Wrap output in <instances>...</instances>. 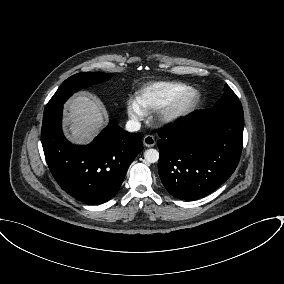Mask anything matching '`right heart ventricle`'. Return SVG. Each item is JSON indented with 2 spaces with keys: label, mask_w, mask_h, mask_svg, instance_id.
Listing matches in <instances>:
<instances>
[{
  "label": "right heart ventricle",
  "mask_w": 284,
  "mask_h": 284,
  "mask_svg": "<svg viewBox=\"0 0 284 284\" xmlns=\"http://www.w3.org/2000/svg\"><path fill=\"white\" fill-rule=\"evenodd\" d=\"M191 87L182 82L158 81L146 84L136 95V101L145 112L159 110Z\"/></svg>",
  "instance_id": "e07e8e85"
}]
</instances>
